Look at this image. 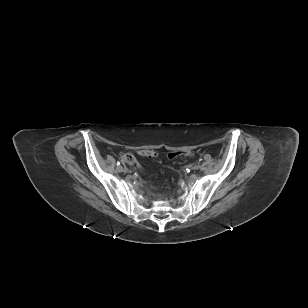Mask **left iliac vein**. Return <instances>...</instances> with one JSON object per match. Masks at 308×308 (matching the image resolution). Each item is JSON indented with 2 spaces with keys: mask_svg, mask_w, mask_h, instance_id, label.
<instances>
[{
  "mask_svg": "<svg viewBox=\"0 0 308 308\" xmlns=\"http://www.w3.org/2000/svg\"><path fill=\"white\" fill-rule=\"evenodd\" d=\"M200 168V165H194L193 167H192V169H194V170H198Z\"/></svg>",
  "mask_w": 308,
  "mask_h": 308,
  "instance_id": "1",
  "label": "left iliac vein"
}]
</instances>
